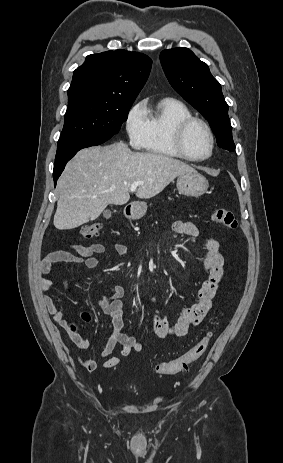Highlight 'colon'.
Listing matches in <instances>:
<instances>
[{"label":"colon","instance_id":"1","mask_svg":"<svg viewBox=\"0 0 283 463\" xmlns=\"http://www.w3.org/2000/svg\"><path fill=\"white\" fill-rule=\"evenodd\" d=\"M211 218L214 223L220 224L230 230H235L238 225L233 212L228 209L218 208L213 210ZM101 229L102 225L100 223L86 224L80 229V236L83 239H90L97 236ZM72 330L74 331V328ZM210 338L211 335L209 334L184 354L158 364L155 368L156 372L160 375H172L186 370L192 363L202 357L209 345Z\"/></svg>","mask_w":283,"mask_h":463}]
</instances>
